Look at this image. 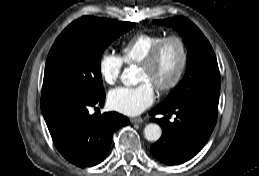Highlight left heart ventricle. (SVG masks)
<instances>
[{
	"label": "left heart ventricle",
	"instance_id": "obj_1",
	"mask_svg": "<svg viewBox=\"0 0 259 176\" xmlns=\"http://www.w3.org/2000/svg\"><path fill=\"white\" fill-rule=\"evenodd\" d=\"M181 60L178 44L168 42L162 49L155 65L151 68L140 67L138 81L148 82L153 87L168 83L175 75Z\"/></svg>",
	"mask_w": 259,
	"mask_h": 176
}]
</instances>
